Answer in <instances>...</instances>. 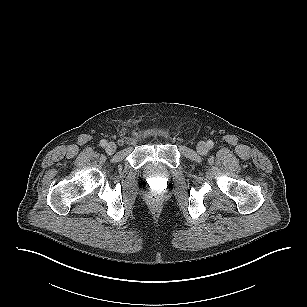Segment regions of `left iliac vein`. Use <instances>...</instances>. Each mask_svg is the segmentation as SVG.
I'll use <instances>...</instances> for the list:
<instances>
[{"mask_svg":"<svg viewBox=\"0 0 307 307\" xmlns=\"http://www.w3.org/2000/svg\"><path fill=\"white\" fill-rule=\"evenodd\" d=\"M196 149L200 155H205L208 153V146L205 142H199L196 146Z\"/></svg>","mask_w":307,"mask_h":307,"instance_id":"4c4485c4","label":"left iliac vein"}]
</instances>
